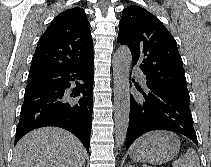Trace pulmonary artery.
I'll list each match as a JSON object with an SVG mask.
<instances>
[{
    "mask_svg": "<svg viewBox=\"0 0 211 167\" xmlns=\"http://www.w3.org/2000/svg\"><path fill=\"white\" fill-rule=\"evenodd\" d=\"M140 80H141L142 83L145 82V79H144V77L142 75H140Z\"/></svg>",
    "mask_w": 211,
    "mask_h": 167,
    "instance_id": "1",
    "label": "pulmonary artery"
}]
</instances>
